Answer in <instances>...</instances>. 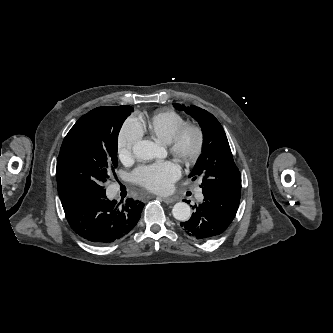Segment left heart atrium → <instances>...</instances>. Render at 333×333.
Masks as SVG:
<instances>
[{
  "label": "left heart atrium",
  "instance_id": "obj_1",
  "mask_svg": "<svg viewBox=\"0 0 333 333\" xmlns=\"http://www.w3.org/2000/svg\"><path fill=\"white\" fill-rule=\"evenodd\" d=\"M180 176V168L173 161H165L143 165L133 173L134 181L140 186L157 193L171 189L172 184Z\"/></svg>",
  "mask_w": 333,
  "mask_h": 333
}]
</instances>
